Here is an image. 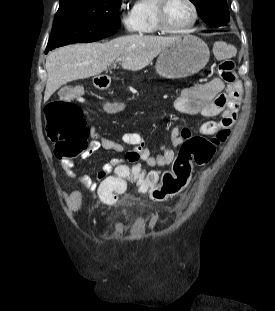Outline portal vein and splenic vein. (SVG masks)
I'll list each match as a JSON object with an SVG mask.
<instances>
[{"label":"portal vein and splenic vein","mask_w":275,"mask_h":311,"mask_svg":"<svg viewBox=\"0 0 275 311\" xmlns=\"http://www.w3.org/2000/svg\"><path fill=\"white\" fill-rule=\"evenodd\" d=\"M123 61V58H118L116 62Z\"/></svg>","instance_id":"portal-vein-and-splenic-vein-1"}]
</instances>
